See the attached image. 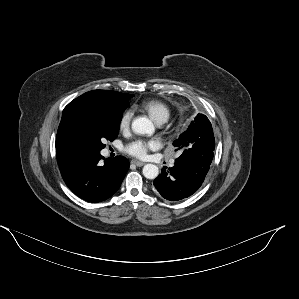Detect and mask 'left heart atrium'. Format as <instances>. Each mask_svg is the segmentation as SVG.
Here are the masks:
<instances>
[{
    "mask_svg": "<svg viewBox=\"0 0 299 299\" xmlns=\"http://www.w3.org/2000/svg\"><path fill=\"white\" fill-rule=\"evenodd\" d=\"M156 146L157 143L155 141L136 140L128 144L125 151L134 157L143 158L148 150L155 148Z\"/></svg>",
    "mask_w": 299,
    "mask_h": 299,
    "instance_id": "obj_1",
    "label": "left heart atrium"
}]
</instances>
